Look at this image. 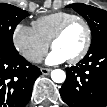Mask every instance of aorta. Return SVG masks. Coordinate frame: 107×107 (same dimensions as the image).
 <instances>
[{
	"instance_id": "1",
	"label": "aorta",
	"mask_w": 107,
	"mask_h": 107,
	"mask_svg": "<svg viewBox=\"0 0 107 107\" xmlns=\"http://www.w3.org/2000/svg\"><path fill=\"white\" fill-rule=\"evenodd\" d=\"M51 79L55 83H63L66 79V74L61 69H55L51 72Z\"/></svg>"
}]
</instances>
